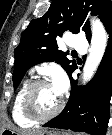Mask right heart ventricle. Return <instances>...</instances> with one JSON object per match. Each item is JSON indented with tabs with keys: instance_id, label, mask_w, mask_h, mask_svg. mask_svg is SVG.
Returning a JSON list of instances; mask_svg holds the SVG:
<instances>
[{
	"instance_id": "e07e8e85",
	"label": "right heart ventricle",
	"mask_w": 112,
	"mask_h": 135,
	"mask_svg": "<svg viewBox=\"0 0 112 135\" xmlns=\"http://www.w3.org/2000/svg\"><path fill=\"white\" fill-rule=\"evenodd\" d=\"M31 83H32L31 80H25L22 83V85L18 89V91L13 99L12 105H11L12 120L14 121V123L16 125H18L19 127H22V128L32 127L36 123V121L29 119L25 115V113L23 111V106H22V100H23L24 93Z\"/></svg>"
}]
</instances>
